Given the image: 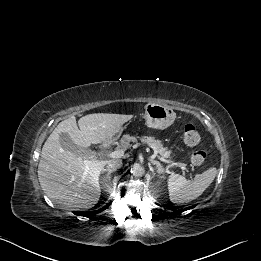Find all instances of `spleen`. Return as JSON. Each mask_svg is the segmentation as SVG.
<instances>
[{
  "instance_id": "3e777b00",
  "label": "spleen",
  "mask_w": 261,
  "mask_h": 261,
  "mask_svg": "<svg viewBox=\"0 0 261 261\" xmlns=\"http://www.w3.org/2000/svg\"><path fill=\"white\" fill-rule=\"evenodd\" d=\"M217 174L215 167L209 168L202 174H197L193 180L179 174L168 177V192L173 203H188L198 198L213 182Z\"/></svg>"
}]
</instances>
